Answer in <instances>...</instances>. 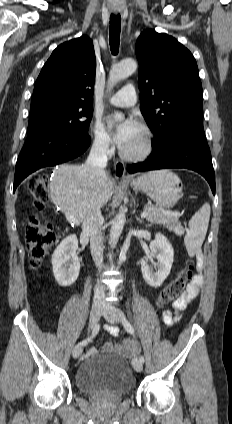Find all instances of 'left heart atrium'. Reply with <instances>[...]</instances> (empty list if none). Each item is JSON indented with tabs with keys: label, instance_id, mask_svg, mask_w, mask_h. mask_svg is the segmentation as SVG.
Returning a JSON list of instances; mask_svg holds the SVG:
<instances>
[{
	"label": "left heart atrium",
	"instance_id": "1",
	"mask_svg": "<svg viewBox=\"0 0 232 424\" xmlns=\"http://www.w3.org/2000/svg\"><path fill=\"white\" fill-rule=\"evenodd\" d=\"M139 129L138 123L131 117L124 119L114 132V142L124 148Z\"/></svg>",
	"mask_w": 232,
	"mask_h": 424
}]
</instances>
